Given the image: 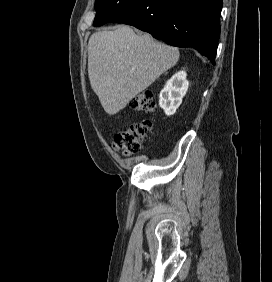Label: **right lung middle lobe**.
<instances>
[{
  "mask_svg": "<svg viewBox=\"0 0 272 282\" xmlns=\"http://www.w3.org/2000/svg\"><path fill=\"white\" fill-rule=\"evenodd\" d=\"M135 1L136 0H96L94 26H101L109 22Z\"/></svg>",
  "mask_w": 272,
  "mask_h": 282,
  "instance_id": "1",
  "label": "right lung middle lobe"
}]
</instances>
